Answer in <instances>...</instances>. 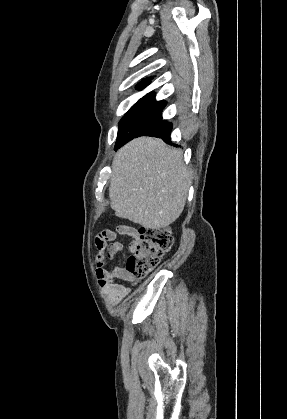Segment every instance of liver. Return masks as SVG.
<instances>
[{
  "label": "liver",
  "instance_id": "liver-1",
  "mask_svg": "<svg viewBox=\"0 0 287 419\" xmlns=\"http://www.w3.org/2000/svg\"><path fill=\"white\" fill-rule=\"evenodd\" d=\"M190 184L180 150L157 138L139 137L114 156L111 208L120 218L159 230L179 218Z\"/></svg>",
  "mask_w": 287,
  "mask_h": 419
}]
</instances>
